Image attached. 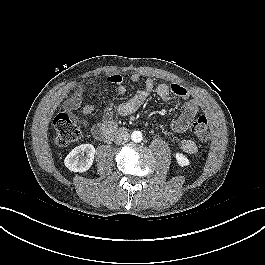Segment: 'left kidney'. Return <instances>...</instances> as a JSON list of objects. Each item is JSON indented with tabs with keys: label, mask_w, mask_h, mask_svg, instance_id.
Returning a JSON list of instances; mask_svg holds the SVG:
<instances>
[{
	"label": "left kidney",
	"mask_w": 265,
	"mask_h": 265,
	"mask_svg": "<svg viewBox=\"0 0 265 265\" xmlns=\"http://www.w3.org/2000/svg\"><path fill=\"white\" fill-rule=\"evenodd\" d=\"M175 158L177 160L178 165L181 167H185L190 164L189 159L182 153H176Z\"/></svg>",
	"instance_id": "obj_1"
}]
</instances>
